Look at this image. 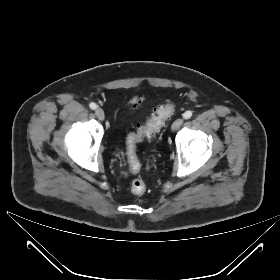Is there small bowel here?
<instances>
[{
	"instance_id": "1",
	"label": "small bowel",
	"mask_w": 280,
	"mask_h": 280,
	"mask_svg": "<svg viewBox=\"0 0 280 280\" xmlns=\"http://www.w3.org/2000/svg\"><path fill=\"white\" fill-rule=\"evenodd\" d=\"M144 103H145V96L136 95L127 101L126 106L130 110H138L144 105Z\"/></svg>"
}]
</instances>
